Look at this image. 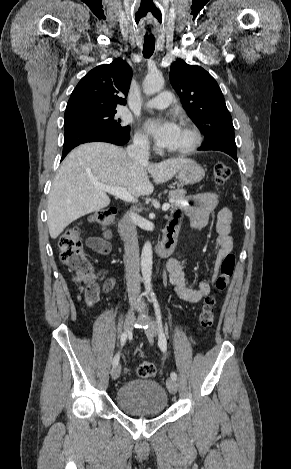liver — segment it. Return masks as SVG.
<instances>
[{"label":"liver","mask_w":291,"mask_h":469,"mask_svg":"<svg viewBox=\"0 0 291 469\" xmlns=\"http://www.w3.org/2000/svg\"><path fill=\"white\" fill-rule=\"evenodd\" d=\"M190 159L175 158L160 163L132 160L127 152L115 145L95 142L75 148L63 161L52 183L48 198V228L56 239L73 221L110 204L106 191L95 183L123 187L138 198L150 195L156 184L172 179Z\"/></svg>","instance_id":"liver-1"}]
</instances>
